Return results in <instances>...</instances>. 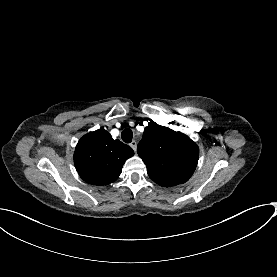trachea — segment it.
Returning a JSON list of instances; mask_svg holds the SVG:
<instances>
[{
  "instance_id": "obj_1",
  "label": "trachea",
  "mask_w": 277,
  "mask_h": 277,
  "mask_svg": "<svg viewBox=\"0 0 277 277\" xmlns=\"http://www.w3.org/2000/svg\"><path fill=\"white\" fill-rule=\"evenodd\" d=\"M121 138L125 143H130L132 141V138H133L132 130L130 128H125L121 132Z\"/></svg>"
}]
</instances>
